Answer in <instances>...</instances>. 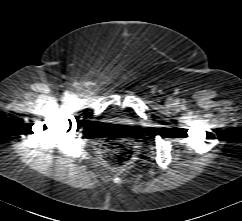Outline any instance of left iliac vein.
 <instances>
[{"instance_id": "1", "label": "left iliac vein", "mask_w": 242, "mask_h": 221, "mask_svg": "<svg viewBox=\"0 0 242 221\" xmlns=\"http://www.w3.org/2000/svg\"><path fill=\"white\" fill-rule=\"evenodd\" d=\"M169 103H171V104H172V100H170V101H169Z\"/></svg>"}]
</instances>
